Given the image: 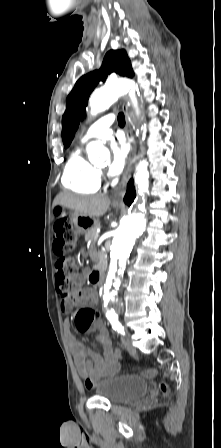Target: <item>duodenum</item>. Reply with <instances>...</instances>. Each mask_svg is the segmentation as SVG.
Here are the masks:
<instances>
[{"instance_id": "410a0bca", "label": "duodenum", "mask_w": 221, "mask_h": 448, "mask_svg": "<svg viewBox=\"0 0 221 448\" xmlns=\"http://www.w3.org/2000/svg\"><path fill=\"white\" fill-rule=\"evenodd\" d=\"M90 281L96 285L100 286L102 284V269H95L89 275Z\"/></svg>"}]
</instances>
